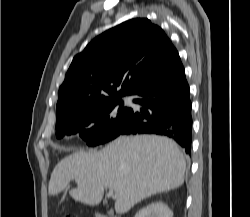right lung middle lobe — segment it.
<instances>
[{
  "label": "right lung middle lobe",
  "instance_id": "obj_1",
  "mask_svg": "<svg viewBox=\"0 0 250 217\" xmlns=\"http://www.w3.org/2000/svg\"><path fill=\"white\" fill-rule=\"evenodd\" d=\"M114 99L77 111L56 122V136L78 134L89 146H96L116 138L129 123L133 110Z\"/></svg>",
  "mask_w": 250,
  "mask_h": 217
}]
</instances>
